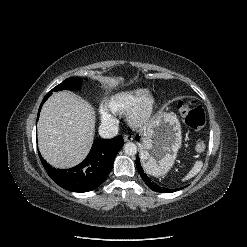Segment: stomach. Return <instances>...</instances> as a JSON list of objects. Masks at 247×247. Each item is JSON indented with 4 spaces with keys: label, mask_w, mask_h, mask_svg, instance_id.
Instances as JSON below:
<instances>
[{
    "label": "stomach",
    "mask_w": 247,
    "mask_h": 247,
    "mask_svg": "<svg viewBox=\"0 0 247 247\" xmlns=\"http://www.w3.org/2000/svg\"><path fill=\"white\" fill-rule=\"evenodd\" d=\"M182 144L181 125L173 113H160L149 124L140 144V159L147 173L166 174Z\"/></svg>",
    "instance_id": "obj_1"
}]
</instances>
